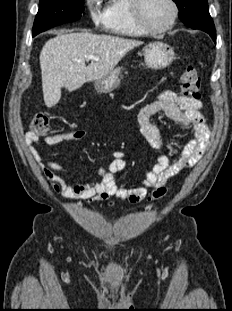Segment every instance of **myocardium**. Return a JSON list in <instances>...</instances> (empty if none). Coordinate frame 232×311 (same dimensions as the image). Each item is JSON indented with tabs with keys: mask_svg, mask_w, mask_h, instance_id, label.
Listing matches in <instances>:
<instances>
[{
	"mask_svg": "<svg viewBox=\"0 0 232 311\" xmlns=\"http://www.w3.org/2000/svg\"><path fill=\"white\" fill-rule=\"evenodd\" d=\"M172 7V17L170 21L163 27L153 28L149 26L142 15V3L143 0H130V11L134 23L144 32L148 34H158L170 30L176 23L179 9L175 0H168Z\"/></svg>",
	"mask_w": 232,
	"mask_h": 311,
	"instance_id": "obj_1",
	"label": "myocardium"
}]
</instances>
